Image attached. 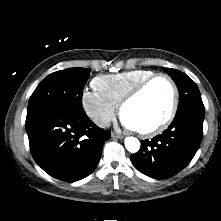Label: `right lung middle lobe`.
I'll return each mask as SVG.
<instances>
[{"label": "right lung middle lobe", "instance_id": "1", "mask_svg": "<svg viewBox=\"0 0 221 221\" xmlns=\"http://www.w3.org/2000/svg\"><path fill=\"white\" fill-rule=\"evenodd\" d=\"M90 71L87 68H68L49 74L31 95L27 114L57 107L83 110V88Z\"/></svg>", "mask_w": 221, "mask_h": 221}]
</instances>
